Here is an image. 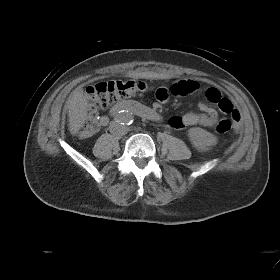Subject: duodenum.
<instances>
[{
  "label": "duodenum",
  "mask_w": 280,
  "mask_h": 280,
  "mask_svg": "<svg viewBox=\"0 0 280 280\" xmlns=\"http://www.w3.org/2000/svg\"><path fill=\"white\" fill-rule=\"evenodd\" d=\"M121 112L134 113L140 117L153 121L161 120V115L156 110L136 101H125L118 103L110 110V113L113 116H117Z\"/></svg>",
  "instance_id": "obj_1"
}]
</instances>
